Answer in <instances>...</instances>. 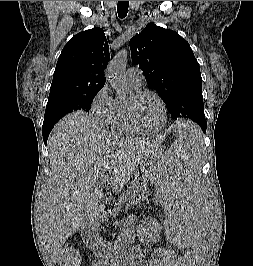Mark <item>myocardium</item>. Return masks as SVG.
<instances>
[{
  "label": "myocardium",
  "mask_w": 253,
  "mask_h": 266,
  "mask_svg": "<svg viewBox=\"0 0 253 266\" xmlns=\"http://www.w3.org/2000/svg\"><path fill=\"white\" fill-rule=\"evenodd\" d=\"M147 95L154 96L159 101L162 107L163 121H162V124L156 129H145L140 125L138 121V117L136 113V104L142 97L147 96ZM127 111H128L131 125L138 133H141V134L159 133L166 127L168 123V109H167V105L164 99L159 93H157L156 91L150 90V89L138 90L136 92H133L130 95L129 99L127 100Z\"/></svg>",
  "instance_id": "f54148a6"
}]
</instances>
